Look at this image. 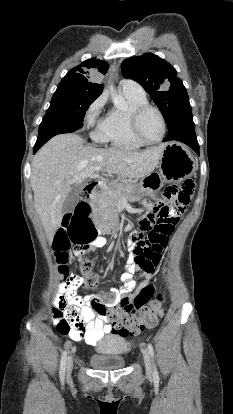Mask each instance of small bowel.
<instances>
[{
    "label": "small bowel",
    "instance_id": "small-bowel-1",
    "mask_svg": "<svg viewBox=\"0 0 233 414\" xmlns=\"http://www.w3.org/2000/svg\"><path fill=\"white\" fill-rule=\"evenodd\" d=\"M175 222L184 213L186 206H174L171 208ZM106 244L103 236H97L91 243L92 248H101ZM134 245L129 244L126 248L130 252L124 271L120 277L122 284H111L110 290L113 291L116 299L128 297L133 298L134 294H138L143 288L150 285L154 280L153 272L140 269L133 260L132 251ZM73 252L76 256L84 253V250L75 247ZM139 272L144 278L140 283L133 280V274ZM85 286V277L79 270H69L65 283L59 292L62 294L55 298L54 307L51 313V321L56 326L59 333L69 336L74 341L84 340L88 345L97 344L105 333L111 331L109 325L105 323L108 315L107 306L103 302H98V295H91L86 292V296H80L76 292Z\"/></svg>",
    "mask_w": 233,
    "mask_h": 414
}]
</instances>
